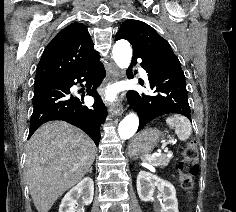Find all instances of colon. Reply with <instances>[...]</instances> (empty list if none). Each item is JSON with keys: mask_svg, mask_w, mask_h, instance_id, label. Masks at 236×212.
Returning <instances> with one entry per match:
<instances>
[{"mask_svg": "<svg viewBox=\"0 0 236 212\" xmlns=\"http://www.w3.org/2000/svg\"><path fill=\"white\" fill-rule=\"evenodd\" d=\"M179 181L182 189L190 193L194 188V179L199 172V149L196 141L187 144L183 158L178 164Z\"/></svg>", "mask_w": 236, "mask_h": 212, "instance_id": "5ec220e1", "label": "colon"}]
</instances>
